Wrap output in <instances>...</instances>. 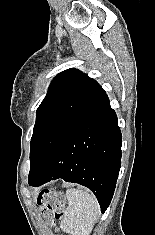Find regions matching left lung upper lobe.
<instances>
[{
  "label": "left lung upper lobe",
  "instance_id": "left-lung-upper-lobe-1",
  "mask_svg": "<svg viewBox=\"0 0 155 235\" xmlns=\"http://www.w3.org/2000/svg\"><path fill=\"white\" fill-rule=\"evenodd\" d=\"M105 91L77 69L59 73L37 109L30 143V172L36 174L62 139L77 126L104 97Z\"/></svg>",
  "mask_w": 155,
  "mask_h": 235
}]
</instances>
